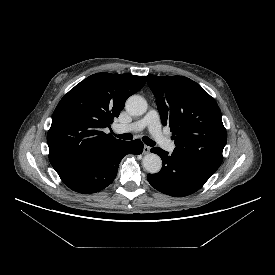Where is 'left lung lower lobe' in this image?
Returning <instances> with one entry per match:
<instances>
[{
  "instance_id": "left-lung-lower-lobe-1",
  "label": "left lung lower lobe",
  "mask_w": 275,
  "mask_h": 275,
  "mask_svg": "<svg viewBox=\"0 0 275 275\" xmlns=\"http://www.w3.org/2000/svg\"><path fill=\"white\" fill-rule=\"evenodd\" d=\"M163 162L161 170L156 174H148L151 186L158 191L173 196L184 197L199 190L213 173L194 161L175 152L171 155L159 147L151 149Z\"/></svg>"
}]
</instances>
